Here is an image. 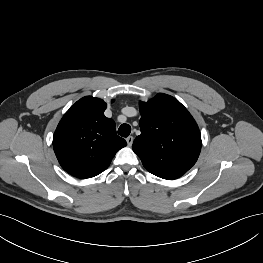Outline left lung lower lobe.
<instances>
[{
    "label": "left lung lower lobe",
    "instance_id": "left-lung-lower-lobe-1",
    "mask_svg": "<svg viewBox=\"0 0 263 263\" xmlns=\"http://www.w3.org/2000/svg\"><path fill=\"white\" fill-rule=\"evenodd\" d=\"M181 177V175L174 173V172H168L167 175L164 177V179L173 180Z\"/></svg>",
    "mask_w": 263,
    "mask_h": 263
}]
</instances>
